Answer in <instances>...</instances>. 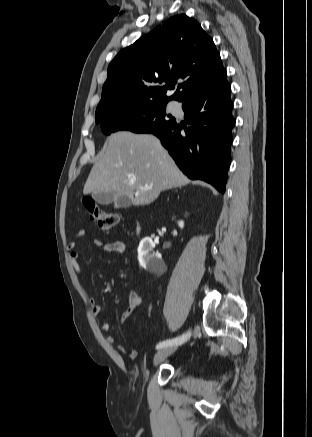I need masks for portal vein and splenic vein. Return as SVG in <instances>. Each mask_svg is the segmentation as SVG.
<instances>
[{"label":"portal vein and splenic vein","mask_w":312,"mask_h":437,"mask_svg":"<svg viewBox=\"0 0 312 437\" xmlns=\"http://www.w3.org/2000/svg\"><path fill=\"white\" fill-rule=\"evenodd\" d=\"M130 183H131V184H134V183H135V180H134V179L130 180ZM151 188H152V187L145 186V187H142L141 189H151Z\"/></svg>","instance_id":"obj_1"}]
</instances>
